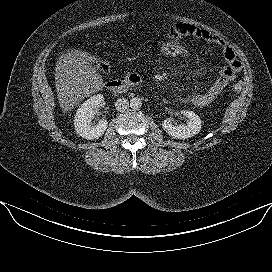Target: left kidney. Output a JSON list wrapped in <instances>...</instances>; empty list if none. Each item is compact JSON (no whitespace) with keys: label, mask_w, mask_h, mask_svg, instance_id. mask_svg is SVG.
I'll use <instances>...</instances> for the list:
<instances>
[{"label":"left kidney","mask_w":272,"mask_h":272,"mask_svg":"<svg viewBox=\"0 0 272 272\" xmlns=\"http://www.w3.org/2000/svg\"><path fill=\"white\" fill-rule=\"evenodd\" d=\"M187 118L186 124H174L172 118L163 121L162 127L170 136L176 139H187L198 134L201 131V119L192 111H183Z\"/></svg>","instance_id":"5707ae66"}]
</instances>
